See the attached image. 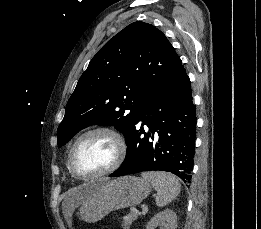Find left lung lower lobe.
<instances>
[{"label": "left lung lower lobe", "instance_id": "left-lung-lower-lobe-1", "mask_svg": "<svg viewBox=\"0 0 261 229\" xmlns=\"http://www.w3.org/2000/svg\"><path fill=\"white\" fill-rule=\"evenodd\" d=\"M191 92L181 64L144 101L137 124L143 123L140 129L136 124L127 141L126 160L110 177L152 170L171 172L182 180L192 177L196 109Z\"/></svg>", "mask_w": 261, "mask_h": 229}]
</instances>
